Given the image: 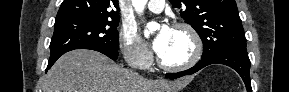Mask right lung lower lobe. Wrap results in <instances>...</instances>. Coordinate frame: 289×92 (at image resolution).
<instances>
[{
  "instance_id": "98d812e1",
  "label": "right lung lower lobe",
  "mask_w": 289,
  "mask_h": 92,
  "mask_svg": "<svg viewBox=\"0 0 289 92\" xmlns=\"http://www.w3.org/2000/svg\"><path fill=\"white\" fill-rule=\"evenodd\" d=\"M84 49H91V50H95V51L101 52V53L107 55L108 57H110V58L113 59V60H116V59L118 58V52H117V51H114V50H111V49H108V48H103V47H88V48H84ZM60 56H61V55H60ZM60 56L49 59V62H48V66H47V68H46V71L52 67V65L56 62V60H57Z\"/></svg>"
}]
</instances>
